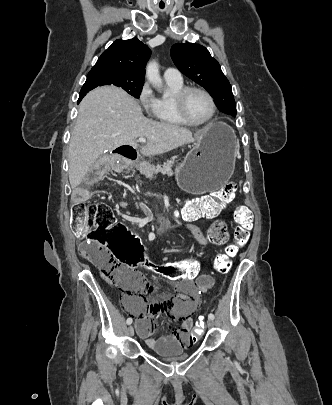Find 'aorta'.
Instances as JSON below:
<instances>
[{"label": "aorta", "mask_w": 332, "mask_h": 405, "mask_svg": "<svg viewBox=\"0 0 332 405\" xmlns=\"http://www.w3.org/2000/svg\"><path fill=\"white\" fill-rule=\"evenodd\" d=\"M146 78L155 87L162 85V79L159 73V65L156 61H150L146 66Z\"/></svg>", "instance_id": "aorta-1"}]
</instances>
